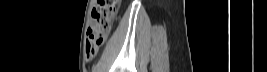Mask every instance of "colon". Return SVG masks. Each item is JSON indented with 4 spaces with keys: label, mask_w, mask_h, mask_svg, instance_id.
<instances>
[{
    "label": "colon",
    "mask_w": 267,
    "mask_h": 72,
    "mask_svg": "<svg viewBox=\"0 0 267 72\" xmlns=\"http://www.w3.org/2000/svg\"><path fill=\"white\" fill-rule=\"evenodd\" d=\"M119 0H98L93 8L94 24L87 31L88 53H95L104 44L119 8Z\"/></svg>",
    "instance_id": "obj_1"
}]
</instances>
